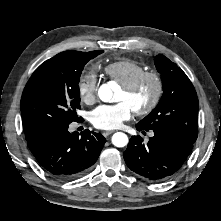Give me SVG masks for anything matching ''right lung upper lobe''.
<instances>
[{
	"instance_id": "1",
	"label": "right lung upper lobe",
	"mask_w": 221,
	"mask_h": 221,
	"mask_svg": "<svg viewBox=\"0 0 221 221\" xmlns=\"http://www.w3.org/2000/svg\"><path fill=\"white\" fill-rule=\"evenodd\" d=\"M74 51H65L62 53L57 54L56 56H54L53 58H51L50 60H62V59H66L67 57H70L71 55H73ZM24 127V134H25V139L28 141L30 139H32L33 137L37 136L38 134L36 133H32L29 132L25 126Z\"/></svg>"
}]
</instances>
